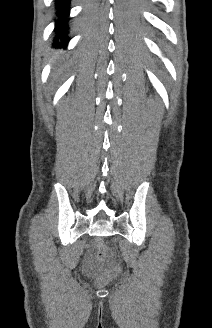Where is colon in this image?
Returning a JSON list of instances; mask_svg holds the SVG:
<instances>
[{"instance_id": "1", "label": "colon", "mask_w": 212, "mask_h": 328, "mask_svg": "<svg viewBox=\"0 0 212 328\" xmlns=\"http://www.w3.org/2000/svg\"><path fill=\"white\" fill-rule=\"evenodd\" d=\"M98 253L97 257L101 261H109L112 273H116L121 269L120 263L111 256L109 249L103 244V242L98 241Z\"/></svg>"}]
</instances>
